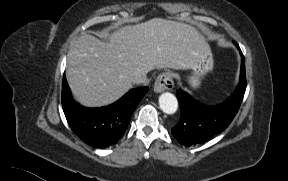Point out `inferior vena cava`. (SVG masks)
Instances as JSON below:
<instances>
[{
	"mask_svg": "<svg viewBox=\"0 0 288 181\" xmlns=\"http://www.w3.org/2000/svg\"><path fill=\"white\" fill-rule=\"evenodd\" d=\"M134 83L146 86V85L149 84V79L147 78L146 75H143V76H140V77L136 78Z\"/></svg>",
	"mask_w": 288,
	"mask_h": 181,
	"instance_id": "1",
	"label": "inferior vena cava"
}]
</instances>
